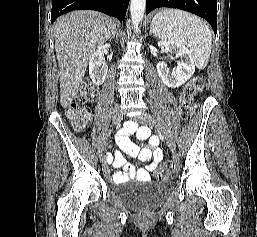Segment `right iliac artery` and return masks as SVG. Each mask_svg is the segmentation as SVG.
<instances>
[{
  "instance_id": "82829eb1",
  "label": "right iliac artery",
  "mask_w": 257,
  "mask_h": 237,
  "mask_svg": "<svg viewBox=\"0 0 257 237\" xmlns=\"http://www.w3.org/2000/svg\"><path fill=\"white\" fill-rule=\"evenodd\" d=\"M118 133H119V134L122 133V130H120ZM110 134H111V131L109 132V136H110Z\"/></svg>"
}]
</instances>
